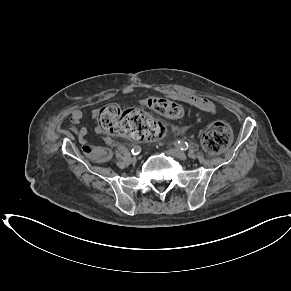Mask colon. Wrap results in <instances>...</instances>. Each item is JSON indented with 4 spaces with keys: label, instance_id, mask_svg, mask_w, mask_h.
I'll return each mask as SVG.
<instances>
[{
    "label": "colon",
    "instance_id": "colon-1",
    "mask_svg": "<svg viewBox=\"0 0 291 291\" xmlns=\"http://www.w3.org/2000/svg\"><path fill=\"white\" fill-rule=\"evenodd\" d=\"M145 106L169 118H179L183 115L182 107L165 97L150 96L145 100ZM98 123L102 131L135 140L154 139L162 127V124L149 113L135 108L122 110L116 104H109L100 109ZM231 139L232 130L229 124L218 119L205 131L202 144L209 153L218 154L227 149ZM83 151L96 161H105L109 157V151L99 146L85 145Z\"/></svg>",
    "mask_w": 291,
    "mask_h": 291
}]
</instances>
